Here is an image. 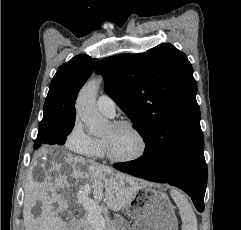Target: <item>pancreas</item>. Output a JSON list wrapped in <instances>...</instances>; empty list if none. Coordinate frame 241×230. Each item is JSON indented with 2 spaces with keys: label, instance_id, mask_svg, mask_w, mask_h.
<instances>
[{
  "label": "pancreas",
  "instance_id": "cf45deb5",
  "mask_svg": "<svg viewBox=\"0 0 241 230\" xmlns=\"http://www.w3.org/2000/svg\"><path fill=\"white\" fill-rule=\"evenodd\" d=\"M71 230H98V227L92 224L89 221V213L86 212L82 218H80L74 225ZM100 230H121L117 227L116 223L109 222L105 223V226Z\"/></svg>",
  "mask_w": 241,
  "mask_h": 230
}]
</instances>
